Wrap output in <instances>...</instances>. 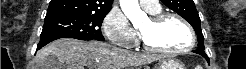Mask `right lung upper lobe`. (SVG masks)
Masks as SVG:
<instances>
[{
	"label": "right lung upper lobe",
	"mask_w": 246,
	"mask_h": 69,
	"mask_svg": "<svg viewBox=\"0 0 246 69\" xmlns=\"http://www.w3.org/2000/svg\"><path fill=\"white\" fill-rule=\"evenodd\" d=\"M113 0H51L45 18L60 15H106Z\"/></svg>",
	"instance_id": "right-lung-upper-lobe-1"
}]
</instances>
